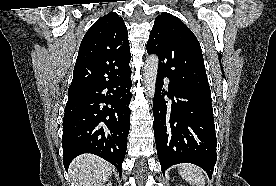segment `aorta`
<instances>
[{"label":"aorta","instance_id":"762f6f07","mask_svg":"<svg viewBox=\"0 0 276 186\" xmlns=\"http://www.w3.org/2000/svg\"><path fill=\"white\" fill-rule=\"evenodd\" d=\"M158 66H159L158 56L150 55L146 59L143 76H144V84H145V87L147 88V95L150 98H153L155 94Z\"/></svg>","mask_w":276,"mask_h":186}]
</instances>
